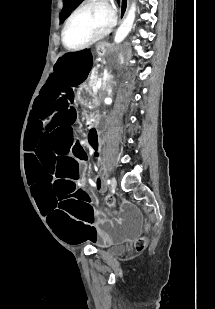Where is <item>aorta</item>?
<instances>
[{"label":"aorta","instance_id":"1","mask_svg":"<svg viewBox=\"0 0 215 309\" xmlns=\"http://www.w3.org/2000/svg\"><path fill=\"white\" fill-rule=\"evenodd\" d=\"M135 2L131 4L122 24H120L114 38V42H121V40H124L126 38L129 30H131L133 26V22L135 20Z\"/></svg>","mask_w":215,"mask_h":309}]
</instances>
